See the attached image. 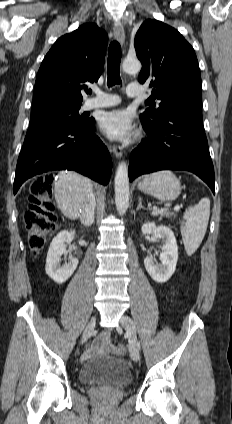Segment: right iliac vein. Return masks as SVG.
Masks as SVG:
<instances>
[{"instance_id":"right-iliac-vein-1","label":"right iliac vein","mask_w":232,"mask_h":424,"mask_svg":"<svg viewBox=\"0 0 232 424\" xmlns=\"http://www.w3.org/2000/svg\"><path fill=\"white\" fill-rule=\"evenodd\" d=\"M95 324H96L95 318L91 319V321L87 324L82 334L81 343L86 342L90 338V336L93 334L95 329Z\"/></svg>"}]
</instances>
